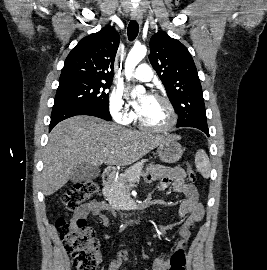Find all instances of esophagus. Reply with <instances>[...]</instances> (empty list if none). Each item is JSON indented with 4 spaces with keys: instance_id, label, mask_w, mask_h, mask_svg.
<instances>
[{
    "instance_id": "esophagus-1",
    "label": "esophagus",
    "mask_w": 267,
    "mask_h": 270,
    "mask_svg": "<svg viewBox=\"0 0 267 270\" xmlns=\"http://www.w3.org/2000/svg\"><path fill=\"white\" fill-rule=\"evenodd\" d=\"M131 17L133 20L137 21L139 24L142 23V15L139 10H133L131 13Z\"/></svg>"
}]
</instances>
